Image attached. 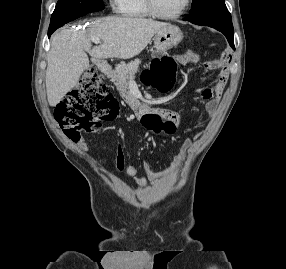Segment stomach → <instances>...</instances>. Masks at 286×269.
<instances>
[{
	"label": "stomach",
	"instance_id": "0dacf381",
	"mask_svg": "<svg viewBox=\"0 0 286 269\" xmlns=\"http://www.w3.org/2000/svg\"><path fill=\"white\" fill-rule=\"evenodd\" d=\"M183 35L179 27L168 24L156 32L154 36V47L155 49H166L169 50L176 47L181 40Z\"/></svg>",
	"mask_w": 286,
	"mask_h": 269
}]
</instances>
